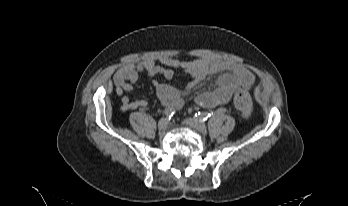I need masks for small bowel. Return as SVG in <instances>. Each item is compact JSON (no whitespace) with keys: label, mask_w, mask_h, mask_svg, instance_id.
Here are the masks:
<instances>
[{"label":"small bowel","mask_w":348,"mask_h":206,"mask_svg":"<svg viewBox=\"0 0 348 206\" xmlns=\"http://www.w3.org/2000/svg\"><path fill=\"white\" fill-rule=\"evenodd\" d=\"M174 69H182L189 74L190 81L186 85L187 90L197 87L206 77L219 74L217 87L214 90L203 91L196 96V102L205 108L228 103L236 88H250L255 82L254 75L243 65L218 58L179 60L164 57L160 64L151 59L127 62L121 65L114 74L116 93L121 96V109L127 111L147 106L146 100L133 101L124 94L132 89L140 73H145L151 77L162 76L170 80L174 75ZM153 85L163 106L173 109H179L183 106L184 94L182 90L157 80L153 81Z\"/></svg>","instance_id":"1"}]
</instances>
